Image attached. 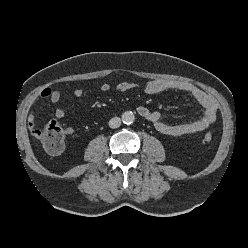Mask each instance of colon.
<instances>
[{
	"mask_svg": "<svg viewBox=\"0 0 248 248\" xmlns=\"http://www.w3.org/2000/svg\"><path fill=\"white\" fill-rule=\"evenodd\" d=\"M36 133L37 138L40 140L47 153L51 155H58L64 150V131L56 121L48 122L44 127L38 129ZM211 139V133H206L203 137L205 142H210Z\"/></svg>",
	"mask_w": 248,
	"mask_h": 248,
	"instance_id": "1",
	"label": "colon"
}]
</instances>
